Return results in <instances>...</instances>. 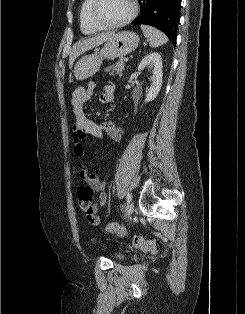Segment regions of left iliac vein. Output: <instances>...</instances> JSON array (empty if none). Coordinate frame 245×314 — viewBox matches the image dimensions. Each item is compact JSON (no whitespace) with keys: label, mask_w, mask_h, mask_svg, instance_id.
<instances>
[{"label":"left iliac vein","mask_w":245,"mask_h":314,"mask_svg":"<svg viewBox=\"0 0 245 314\" xmlns=\"http://www.w3.org/2000/svg\"><path fill=\"white\" fill-rule=\"evenodd\" d=\"M133 212H134V205L133 203H129L126 208V217H130Z\"/></svg>","instance_id":"obj_1"}]
</instances>
